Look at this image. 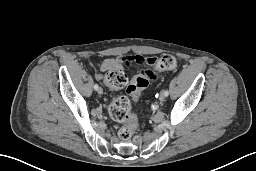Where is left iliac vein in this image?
<instances>
[{"label": "left iliac vein", "instance_id": "obj_1", "mask_svg": "<svg viewBox=\"0 0 256 171\" xmlns=\"http://www.w3.org/2000/svg\"><path fill=\"white\" fill-rule=\"evenodd\" d=\"M165 98H166V96L164 95V93H161V95H160V97H159V100H160L161 102H163V101H165Z\"/></svg>", "mask_w": 256, "mask_h": 171}]
</instances>
